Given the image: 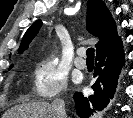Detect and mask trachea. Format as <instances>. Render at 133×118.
<instances>
[{
    "mask_svg": "<svg viewBox=\"0 0 133 118\" xmlns=\"http://www.w3.org/2000/svg\"><path fill=\"white\" fill-rule=\"evenodd\" d=\"M94 52H95L94 48H88L87 49L86 54H87L88 60H94Z\"/></svg>",
    "mask_w": 133,
    "mask_h": 118,
    "instance_id": "trachea-1",
    "label": "trachea"
}]
</instances>
